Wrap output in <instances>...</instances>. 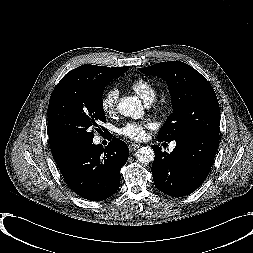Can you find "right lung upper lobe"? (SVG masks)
<instances>
[{
  "mask_svg": "<svg viewBox=\"0 0 253 253\" xmlns=\"http://www.w3.org/2000/svg\"><path fill=\"white\" fill-rule=\"evenodd\" d=\"M124 67H116V68H110V67H104V66H96V65H82L80 67H77L71 71H69L64 77L79 73L82 71H88V72H106L108 70H119ZM49 143H50V148L51 152L53 155V158L58 165V167H61L65 164V162L68 160V158L74 153L75 150L71 149H65L60 146H58L56 143H54L50 138H49Z\"/></svg>",
  "mask_w": 253,
  "mask_h": 253,
  "instance_id": "cb5924a9",
  "label": "right lung upper lobe"
}]
</instances>
